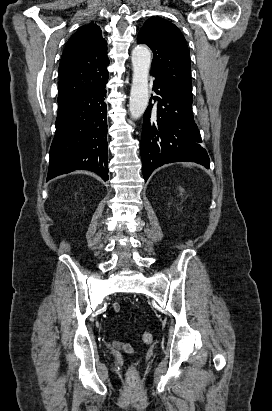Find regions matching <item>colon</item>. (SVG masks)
I'll return each instance as SVG.
<instances>
[{
	"label": "colon",
	"mask_w": 272,
	"mask_h": 411,
	"mask_svg": "<svg viewBox=\"0 0 272 411\" xmlns=\"http://www.w3.org/2000/svg\"><path fill=\"white\" fill-rule=\"evenodd\" d=\"M142 340L145 343H151L153 341V334L151 332H144L142 335ZM127 382L131 387H135L139 383L138 372L134 365H132L128 370Z\"/></svg>",
	"instance_id": "5ec220e1"
}]
</instances>
